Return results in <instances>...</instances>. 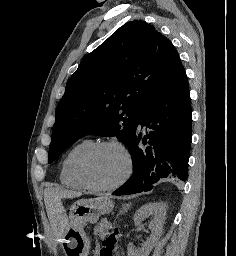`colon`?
<instances>
[{
	"label": "colon",
	"mask_w": 236,
	"mask_h": 256,
	"mask_svg": "<svg viewBox=\"0 0 236 256\" xmlns=\"http://www.w3.org/2000/svg\"><path fill=\"white\" fill-rule=\"evenodd\" d=\"M118 235L116 232L103 237L101 246L97 251V256H115Z\"/></svg>",
	"instance_id": "1"
}]
</instances>
